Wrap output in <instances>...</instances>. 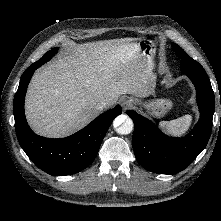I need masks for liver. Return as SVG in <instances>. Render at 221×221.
<instances>
[{
  "instance_id": "1",
  "label": "liver",
  "mask_w": 221,
  "mask_h": 221,
  "mask_svg": "<svg viewBox=\"0 0 221 221\" xmlns=\"http://www.w3.org/2000/svg\"><path fill=\"white\" fill-rule=\"evenodd\" d=\"M136 38L84 43L39 69L32 78L25 113L39 135L61 138L88 124L104 98L113 106L120 95L146 97L154 64L140 53Z\"/></svg>"
}]
</instances>
